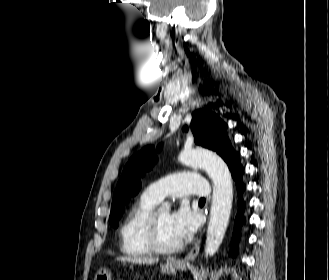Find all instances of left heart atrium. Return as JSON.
Here are the masks:
<instances>
[{"instance_id":"left-heart-atrium-1","label":"left heart atrium","mask_w":329,"mask_h":280,"mask_svg":"<svg viewBox=\"0 0 329 280\" xmlns=\"http://www.w3.org/2000/svg\"><path fill=\"white\" fill-rule=\"evenodd\" d=\"M170 222L174 234L178 240L186 241L196 232L199 225V216L186 204H182L178 209L170 214Z\"/></svg>"}]
</instances>
